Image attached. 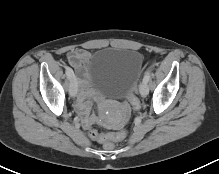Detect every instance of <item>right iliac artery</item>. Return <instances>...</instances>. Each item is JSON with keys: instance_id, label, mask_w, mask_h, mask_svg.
Returning <instances> with one entry per match:
<instances>
[{"instance_id": "obj_1", "label": "right iliac artery", "mask_w": 219, "mask_h": 174, "mask_svg": "<svg viewBox=\"0 0 219 174\" xmlns=\"http://www.w3.org/2000/svg\"><path fill=\"white\" fill-rule=\"evenodd\" d=\"M65 71H66V75H67L68 79H71L73 77V70L67 66L65 68Z\"/></svg>"}]
</instances>
